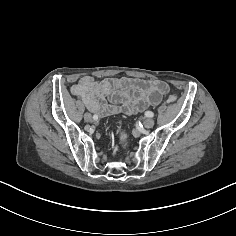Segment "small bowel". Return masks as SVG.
<instances>
[{
  "label": "small bowel",
  "mask_w": 236,
  "mask_h": 236,
  "mask_svg": "<svg viewBox=\"0 0 236 236\" xmlns=\"http://www.w3.org/2000/svg\"><path fill=\"white\" fill-rule=\"evenodd\" d=\"M71 91L94 115L108 116L121 112L132 115L158 104L168 93L169 86L159 80L113 77L96 81L91 76H84Z\"/></svg>",
  "instance_id": "small-bowel-1"
}]
</instances>
